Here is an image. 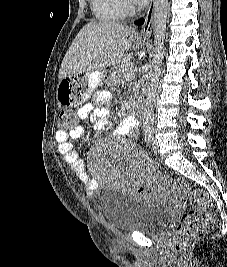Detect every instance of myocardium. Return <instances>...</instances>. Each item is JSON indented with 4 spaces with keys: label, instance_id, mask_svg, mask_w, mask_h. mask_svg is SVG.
<instances>
[{
    "label": "myocardium",
    "instance_id": "myocardium-1",
    "mask_svg": "<svg viewBox=\"0 0 227 267\" xmlns=\"http://www.w3.org/2000/svg\"><path fill=\"white\" fill-rule=\"evenodd\" d=\"M122 10L125 14L133 15L137 12L135 6L131 3V0H119Z\"/></svg>",
    "mask_w": 227,
    "mask_h": 267
}]
</instances>
